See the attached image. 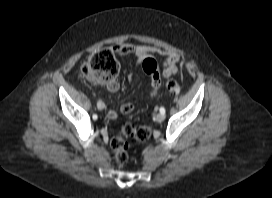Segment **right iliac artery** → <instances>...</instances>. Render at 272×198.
<instances>
[{"label": "right iliac artery", "instance_id": "right-iliac-artery-1", "mask_svg": "<svg viewBox=\"0 0 272 198\" xmlns=\"http://www.w3.org/2000/svg\"><path fill=\"white\" fill-rule=\"evenodd\" d=\"M93 119H97V115L96 114L93 115Z\"/></svg>", "mask_w": 272, "mask_h": 198}]
</instances>
